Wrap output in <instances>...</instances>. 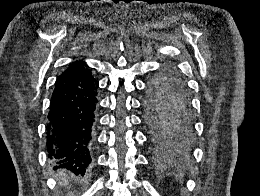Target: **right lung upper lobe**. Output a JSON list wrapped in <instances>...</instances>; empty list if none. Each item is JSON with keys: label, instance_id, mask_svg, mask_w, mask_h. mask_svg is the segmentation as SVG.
I'll list each match as a JSON object with an SVG mask.
<instances>
[{"label": "right lung upper lobe", "instance_id": "right-lung-upper-lobe-1", "mask_svg": "<svg viewBox=\"0 0 260 196\" xmlns=\"http://www.w3.org/2000/svg\"><path fill=\"white\" fill-rule=\"evenodd\" d=\"M86 68L85 62L77 61L70 65L58 78L70 76L84 71Z\"/></svg>", "mask_w": 260, "mask_h": 196}]
</instances>
